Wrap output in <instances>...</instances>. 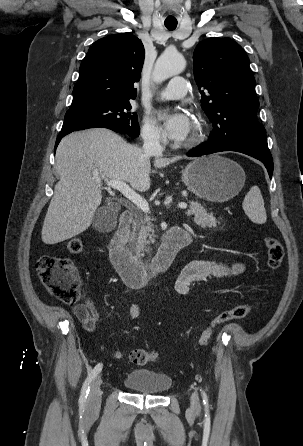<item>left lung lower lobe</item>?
I'll list each match as a JSON object with an SVG mask.
<instances>
[{"instance_id": "1", "label": "left lung lower lobe", "mask_w": 303, "mask_h": 446, "mask_svg": "<svg viewBox=\"0 0 303 446\" xmlns=\"http://www.w3.org/2000/svg\"><path fill=\"white\" fill-rule=\"evenodd\" d=\"M222 151H236L241 152L246 155L252 156L258 160H260L269 173L271 178L273 172V161L272 156L269 151H263L259 149H254L246 146H240L236 144H227V145H201L191 151L188 152V156L198 157L202 155L212 154L216 152Z\"/></svg>"}]
</instances>
